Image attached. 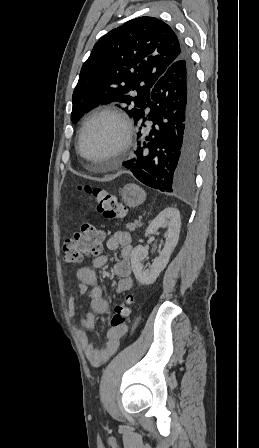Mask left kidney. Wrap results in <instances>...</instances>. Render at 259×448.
Masks as SVG:
<instances>
[{"mask_svg":"<svg viewBox=\"0 0 259 448\" xmlns=\"http://www.w3.org/2000/svg\"><path fill=\"white\" fill-rule=\"evenodd\" d=\"M180 226L181 220L179 210H177V208H165V210L160 212L157 218L151 222L150 226H148L145 236H149V234H157L159 228H168L165 234L166 244L162 252H160V256L155 258L153 264H148V270H145L142 264L148 256L146 248H143V246H136V248L132 250V270L136 280H138L140 284H143V286L154 284L160 272L166 268L170 260V256L174 248L177 246Z\"/></svg>","mask_w":259,"mask_h":448,"instance_id":"5707ae66","label":"left kidney"}]
</instances>
